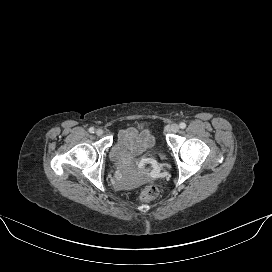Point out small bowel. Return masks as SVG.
Instances as JSON below:
<instances>
[{"label":"small bowel","instance_id":"obj_1","mask_svg":"<svg viewBox=\"0 0 272 272\" xmlns=\"http://www.w3.org/2000/svg\"><path fill=\"white\" fill-rule=\"evenodd\" d=\"M153 142L154 139L147 129L126 128L119 132L114 149L120 154L130 152L139 155L148 151Z\"/></svg>","mask_w":272,"mask_h":272}]
</instances>
